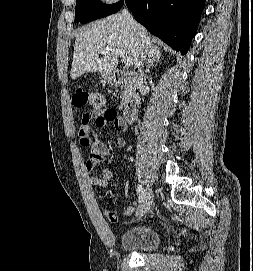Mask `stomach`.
<instances>
[{"mask_svg": "<svg viewBox=\"0 0 253 271\" xmlns=\"http://www.w3.org/2000/svg\"><path fill=\"white\" fill-rule=\"evenodd\" d=\"M102 77L104 78L105 81H107L108 83H112L113 82V76L111 73H102Z\"/></svg>", "mask_w": 253, "mask_h": 271, "instance_id": "stomach-1", "label": "stomach"}]
</instances>
